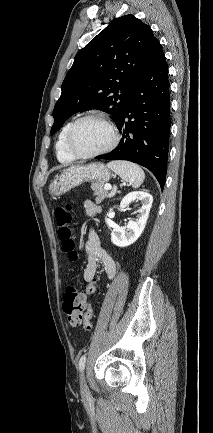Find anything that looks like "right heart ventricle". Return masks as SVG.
Segmentation results:
<instances>
[{"mask_svg": "<svg viewBox=\"0 0 213 433\" xmlns=\"http://www.w3.org/2000/svg\"><path fill=\"white\" fill-rule=\"evenodd\" d=\"M72 121L67 122L61 129L56 142V156L60 162L69 163L76 159L67 148V133L72 125Z\"/></svg>", "mask_w": 213, "mask_h": 433, "instance_id": "obj_1", "label": "right heart ventricle"}]
</instances>
